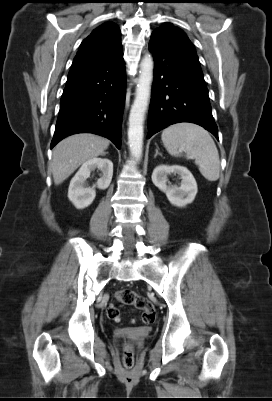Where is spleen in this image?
I'll return each mask as SVG.
<instances>
[{
	"instance_id": "1",
	"label": "spleen",
	"mask_w": 272,
	"mask_h": 401,
	"mask_svg": "<svg viewBox=\"0 0 272 401\" xmlns=\"http://www.w3.org/2000/svg\"><path fill=\"white\" fill-rule=\"evenodd\" d=\"M162 142L170 155L180 156L182 151L195 159L200 173L208 181L220 176V160L217 147L210 134L192 123H178L163 130Z\"/></svg>"
}]
</instances>
